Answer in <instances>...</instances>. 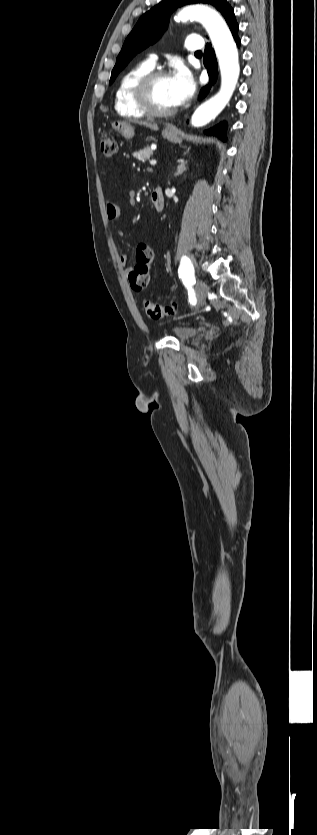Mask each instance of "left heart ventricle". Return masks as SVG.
Here are the masks:
<instances>
[{
  "label": "left heart ventricle",
  "mask_w": 317,
  "mask_h": 835,
  "mask_svg": "<svg viewBox=\"0 0 317 835\" xmlns=\"http://www.w3.org/2000/svg\"><path fill=\"white\" fill-rule=\"evenodd\" d=\"M153 98L156 105L161 109H170L175 107L169 77L159 79L156 82L153 90Z\"/></svg>",
  "instance_id": "b2bd125f"
}]
</instances>
